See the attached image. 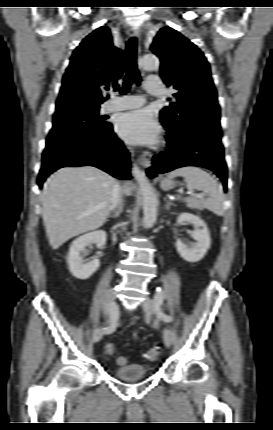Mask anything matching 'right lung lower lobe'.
I'll return each instance as SVG.
<instances>
[{"mask_svg": "<svg viewBox=\"0 0 273 430\" xmlns=\"http://www.w3.org/2000/svg\"><path fill=\"white\" fill-rule=\"evenodd\" d=\"M91 165L119 179H131L129 153L112 127L99 135L48 147L43 152L38 185L62 167Z\"/></svg>", "mask_w": 273, "mask_h": 430, "instance_id": "obj_1", "label": "right lung lower lobe"}]
</instances>
